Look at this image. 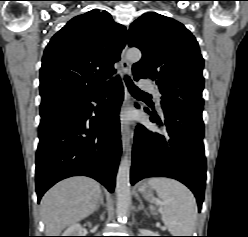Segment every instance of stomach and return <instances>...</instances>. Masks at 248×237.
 <instances>
[{
    "label": "stomach",
    "mask_w": 248,
    "mask_h": 237,
    "mask_svg": "<svg viewBox=\"0 0 248 237\" xmlns=\"http://www.w3.org/2000/svg\"><path fill=\"white\" fill-rule=\"evenodd\" d=\"M139 192L141 193V195L148 201H152L153 200V191L151 189V187L149 186L148 183L144 182L143 184H141L139 186Z\"/></svg>",
    "instance_id": "0dacf381"
}]
</instances>
